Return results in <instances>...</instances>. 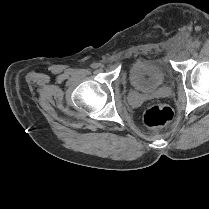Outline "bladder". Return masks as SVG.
I'll return each instance as SVG.
<instances>
[{"label": "bladder", "instance_id": "1", "mask_svg": "<svg viewBox=\"0 0 209 209\" xmlns=\"http://www.w3.org/2000/svg\"><path fill=\"white\" fill-rule=\"evenodd\" d=\"M168 77L163 62L158 58L135 61L128 70L131 86L140 92L152 93L164 85Z\"/></svg>", "mask_w": 209, "mask_h": 209}]
</instances>
